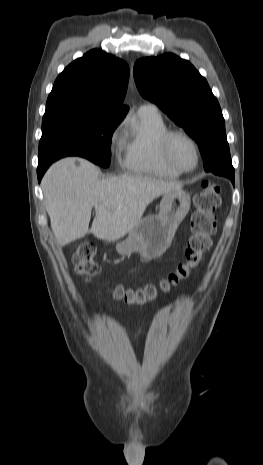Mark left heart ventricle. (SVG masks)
I'll return each mask as SVG.
<instances>
[{
  "instance_id": "left-heart-ventricle-1",
  "label": "left heart ventricle",
  "mask_w": 263,
  "mask_h": 465,
  "mask_svg": "<svg viewBox=\"0 0 263 465\" xmlns=\"http://www.w3.org/2000/svg\"><path fill=\"white\" fill-rule=\"evenodd\" d=\"M171 154L174 161L181 167L189 169L195 164V151L192 144L184 138L173 140Z\"/></svg>"
}]
</instances>
